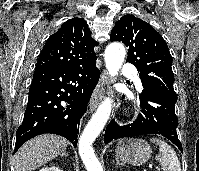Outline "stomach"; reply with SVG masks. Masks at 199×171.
Masks as SVG:
<instances>
[{
    "instance_id": "1",
    "label": "stomach",
    "mask_w": 199,
    "mask_h": 171,
    "mask_svg": "<svg viewBox=\"0 0 199 171\" xmlns=\"http://www.w3.org/2000/svg\"><path fill=\"white\" fill-rule=\"evenodd\" d=\"M116 156L124 163L132 165H142L151 156L150 145L142 139L125 138L118 142Z\"/></svg>"
}]
</instances>
